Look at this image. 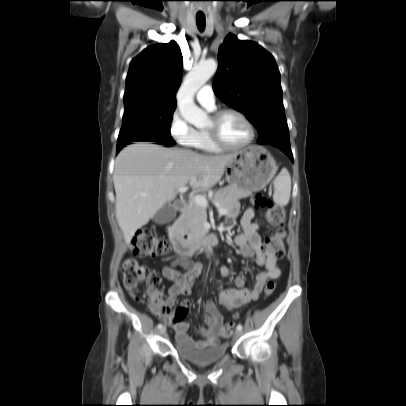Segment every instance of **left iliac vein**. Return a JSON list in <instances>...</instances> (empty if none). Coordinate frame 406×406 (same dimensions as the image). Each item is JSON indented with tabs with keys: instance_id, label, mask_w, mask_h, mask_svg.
<instances>
[{
	"instance_id": "4c4485c4",
	"label": "left iliac vein",
	"mask_w": 406,
	"mask_h": 406,
	"mask_svg": "<svg viewBox=\"0 0 406 406\" xmlns=\"http://www.w3.org/2000/svg\"><path fill=\"white\" fill-rule=\"evenodd\" d=\"M235 335H236V337L241 336V335H242V330H237V331L235 332Z\"/></svg>"
}]
</instances>
